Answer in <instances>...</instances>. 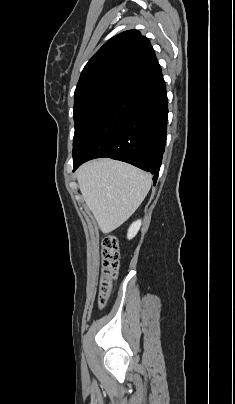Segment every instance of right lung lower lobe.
<instances>
[{
	"instance_id": "right-lung-lower-lobe-1",
	"label": "right lung lower lobe",
	"mask_w": 235,
	"mask_h": 404,
	"mask_svg": "<svg viewBox=\"0 0 235 404\" xmlns=\"http://www.w3.org/2000/svg\"><path fill=\"white\" fill-rule=\"evenodd\" d=\"M167 95L160 66L131 81L73 152V171L109 157L151 172L157 181L167 136Z\"/></svg>"
}]
</instances>
